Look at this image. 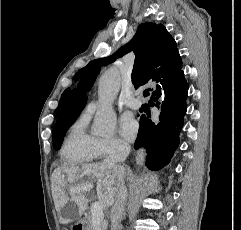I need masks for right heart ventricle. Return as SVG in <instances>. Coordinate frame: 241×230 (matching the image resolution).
Segmentation results:
<instances>
[{"label":"right heart ventricle","instance_id":"e07e8e85","mask_svg":"<svg viewBox=\"0 0 241 230\" xmlns=\"http://www.w3.org/2000/svg\"><path fill=\"white\" fill-rule=\"evenodd\" d=\"M91 113L84 111L69 128L61 150L63 160L68 164H84L101 156L99 138L88 131Z\"/></svg>","mask_w":241,"mask_h":230}]
</instances>
